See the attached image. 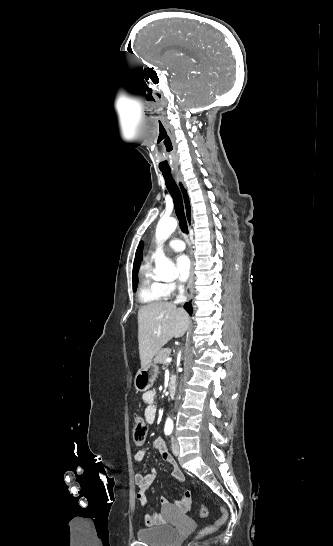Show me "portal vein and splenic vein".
<instances>
[{"instance_id":"18ae733b","label":"portal vein and splenic vein","mask_w":333,"mask_h":546,"mask_svg":"<svg viewBox=\"0 0 333 546\" xmlns=\"http://www.w3.org/2000/svg\"><path fill=\"white\" fill-rule=\"evenodd\" d=\"M172 361V358L171 357H167L166 358V362L170 363Z\"/></svg>"}]
</instances>
